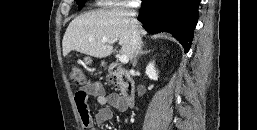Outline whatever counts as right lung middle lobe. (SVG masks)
Segmentation results:
<instances>
[{
	"mask_svg": "<svg viewBox=\"0 0 257 130\" xmlns=\"http://www.w3.org/2000/svg\"><path fill=\"white\" fill-rule=\"evenodd\" d=\"M76 2L79 7H82L84 5V3L86 2V0H76Z\"/></svg>",
	"mask_w": 257,
	"mask_h": 130,
	"instance_id": "obj_1",
	"label": "right lung middle lobe"
}]
</instances>
